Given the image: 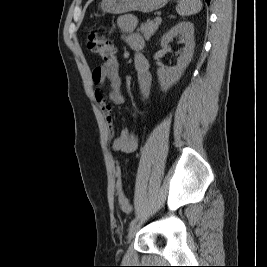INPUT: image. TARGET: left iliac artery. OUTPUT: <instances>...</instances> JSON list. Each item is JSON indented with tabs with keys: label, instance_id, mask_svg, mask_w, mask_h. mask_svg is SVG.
<instances>
[{
	"label": "left iliac artery",
	"instance_id": "1",
	"mask_svg": "<svg viewBox=\"0 0 267 267\" xmlns=\"http://www.w3.org/2000/svg\"><path fill=\"white\" fill-rule=\"evenodd\" d=\"M136 222H137V218H134V219L130 222L129 226H130V227L133 226L134 224H136Z\"/></svg>",
	"mask_w": 267,
	"mask_h": 267
}]
</instances>
